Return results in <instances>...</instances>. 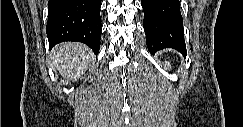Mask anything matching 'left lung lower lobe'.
<instances>
[{
	"label": "left lung lower lobe",
	"mask_w": 243,
	"mask_h": 127,
	"mask_svg": "<svg viewBox=\"0 0 243 127\" xmlns=\"http://www.w3.org/2000/svg\"><path fill=\"white\" fill-rule=\"evenodd\" d=\"M148 50L173 48L186 54L179 0H141Z\"/></svg>",
	"instance_id": "1"
}]
</instances>
